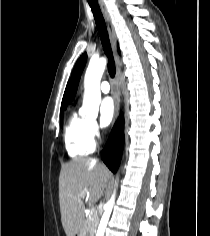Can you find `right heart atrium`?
I'll return each mask as SVG.
<instances>
[{"instance_id":"1","label":"right heart atrium","mask_w":210,"mask_h":236,"mask_svg":"<svg viewBox=\"0 0 210 236\" xmlns=\"http://www.w3.org/2000/svg\"><path fill=\"white\" fill-rule=\"evenodd\" d=\"M88 131L92 139H96L100 136V127L94 120H90L88 123Z\"/></svg>"}]
</instances>
